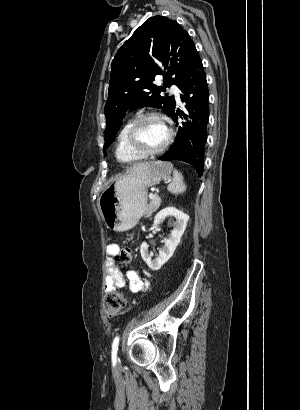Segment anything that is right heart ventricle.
Returning a JSON list of instances; mask_svg holds the SVG:
<instances>
[{"instance_id":"1","label":"right heart ventricle","mask_w":300,"mask_h":410,"mask_svg":"<svg viewBox=\"0 0 300 410\" xmlns=\"http://www.w3.org/2000/svg\"><path fill=\"white\" fill-rule=\"evenodd\" d=\"M134 121V119H129L127 122L124 123V125L121 127L117 139H116V149H115V154L116 157L119 161L125 162V163H134L141 161L143 157L135 153L127 143V131L131 123Z\"/></svg>"}]
</instances>
